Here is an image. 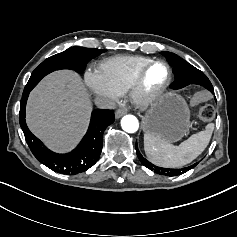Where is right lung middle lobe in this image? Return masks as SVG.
Wrapping results in <instances>:
<instances>
[{"label":"right lung middle lobe","mask_w":237,"mask_h":237,"mask_svg":"<svg viewBox=\"0 0 237 237\" xmlns=\"http://www.w3.org/2000/svg\"><path fill=\"white\" fill-rule=\"evenodd\" d=\"M105 50L96 48L71 47L64 52L44 60L31 74L26 87L34 88L47 74L59 69H72L81 73L86 64Z\"/></svg>","instance_id":"dd1d6c3e"}]
</instances>
